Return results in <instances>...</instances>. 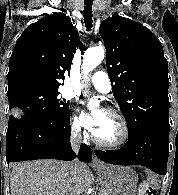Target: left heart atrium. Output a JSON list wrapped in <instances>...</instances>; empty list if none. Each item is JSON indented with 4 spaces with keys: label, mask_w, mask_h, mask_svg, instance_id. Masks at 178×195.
Segmentation results:
<instances>
[{
    "label": "left heart atrium",
    "mask_w": 178,
    "mask_h": 195,
    "mask_svg": "<svg viewBox=\"0 0 178 195\" xmlns=\"http://www.w3.org/2000/svg\"><path fill=\"white\" fill-rule=\"evenodd\" d=\"M102 117L103 112H100L99 114L93 116L83 113V124L87 129H89L91 132L95 134L100 126Z\"/></svg>",
    "instance_id": "39dd6f15"
}]
</instances>
